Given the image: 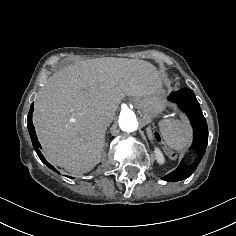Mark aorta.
Returning <instances> with one entry per match:
<instances>
[{"label": "aorta", "mask_w": 236, "mask_h": 236, "mask_svg": "<svg viewBox=\"0 0 236 236\" xmlns=\"http://www.w3.org/2000/svg\"><path fill=\"white\" fill-rule=\"evenodd\" d=\"M118 123L121 130L125 132H134L138 128L136 115L129 109L121 111Z\"/></svg>", "instance_id": "1"}]
</instances>
